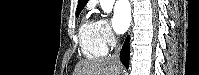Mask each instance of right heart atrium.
Listing matches in <instances>:
<instances>
[{"mask_svg": "<svg viewBox=\"0 0 199 75\" xmlns=\"http://www.w3.org/2000/svg\"><path fill=\"white\" fill-rule=\"evenodd\" d=\"M98 29L101 39L107 46H113L116 41V35L113 32L110 22L105 18H100L97 20Z\"/></svg>", "mask_w": 199, "mask_h": 75, "instance_id": "obj_1", "label": "right heart atrium"}]
</instances>
